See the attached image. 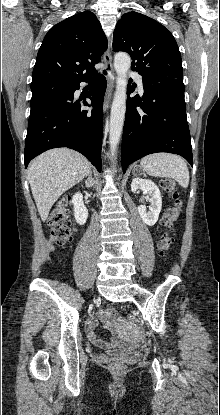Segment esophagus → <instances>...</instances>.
Returning <instances> with one entry per match:
<instances>
[{
  "instance_id": "obj_1",
  "label": "esophagus",
  "mask_w": 220,
  "mask_h": 415,
  "mask_svg": "<svg viewBox=\"0 0 220 415\" xmlns=\"http://www.w3.org/2000/svg\"><path fill=\"white\" fill-rule=\"evenodd\" d=\"M104 59V67L102 69V73L105 75L107 79V89L104 97V103H103V111L106 112L112 95H113V89L115 86V74H114V68L112 64V56H111V45H108V48L103 56Z\"/></svg>"
}]
</instances>
